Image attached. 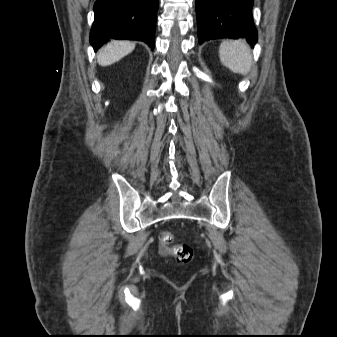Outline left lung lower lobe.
<instances>
[{
    "label": "left lung lower lobe",
    "instance_id": "obj_1",
    "mask_svg": "<svg viewBox=\"0 0 337 337\" xmlns=\"http://www.w3.org/2000/svg\"><path fill=\"white\" fill-rule=\"evenodd\" d=\"M253 0H196L199 43L216 38H245L253 47L257 29Z\"/></svg>",
    "mask_w": 337,
    "mask_h": 337
}]
</instances>
